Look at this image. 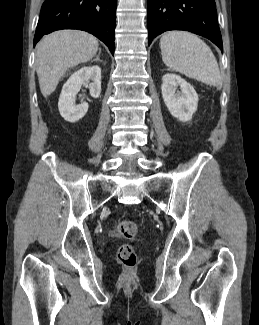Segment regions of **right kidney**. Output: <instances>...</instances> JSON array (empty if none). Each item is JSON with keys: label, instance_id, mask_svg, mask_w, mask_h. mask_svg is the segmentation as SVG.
<instances>
[{"label": "right kidney", "instance_id": "obj_1", "mask_svg": "<svg viewBox=\"0 0 259 325\" xmlns=\"http://www.w3.org/2000/svg\"><path fill=\"white\" fill-rule=\"evenodd\" d=\"M91 81V83H89ZM89 83L90 95L98 98L101 93V69L97 65L82 67L73 73L64 84L58 108L61 116L68 122L80 120L88 111V103L75 105V96L83 84Z\"/></svg>", "mask_w": 259, "mask_h": 325}]
</instances>
